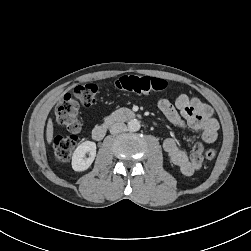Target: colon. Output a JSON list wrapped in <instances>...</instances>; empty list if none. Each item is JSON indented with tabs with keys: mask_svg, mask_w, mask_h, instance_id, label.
Listing matches in <instances>:
<instances>
[{
	"mask_svg": "<svg viewBox=\"0 0 251 251\" xmlns=\"http://www.w3.org/2000/svg\"><path fill=\"white\" fill-rule=\"evenodd\" d=\"M168 83L160 78L149 76L125 75L112 83V87L119 91L133 92L137 94H152L164 91ZM98 87L96 84L87 83L75 86L66 93L57 103L55 116L57 123L66 129L69 136H57L53 140V153L59 163H65L77 144L81 124L78 119L80 105L90 106L95 102ZM217 148L210 147L205 151L208 161L215 159Z\"/></svg>",
	"mask_w": 251,
	"mask_h": 251,
	"instance_id": "colon-1",
	"label": "colon"
}]
</instances>
